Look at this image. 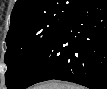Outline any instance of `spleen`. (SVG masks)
I'll list each match as a JSON object with an SVG mask.
<instances>
[{
    "label": "spleen",
    "mask_w": 107,
    "mask_h": 89,
    "mask_svg": "<svg viewBox=\"0 0 107 89\" xmlns=\"http://www.w3.org/2000/svg\"><path fill=\"white\" fill-rule=\"evenodd\" d=\"M59 89H82V87L78 85L63 84Z\"/></svg>",
    "instance_id": "spleen-1"
}]
</instances>
